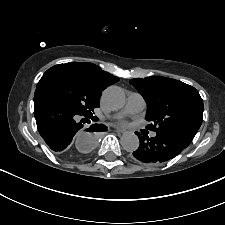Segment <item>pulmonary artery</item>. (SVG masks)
I'll list each match as a JSON object with an SVG mask.
<instances>
[{"label": "pulmonary artery", "instance_id": "obj_1", "mask_svg": "<svg viewBox=\"0 0 225 225\" xmlns=\"http://www.w3.org/2000/svg\"><path fill=\"white\" fill-rule=\"evenodd\" d=\"M145 106H146V102L144 98L142 97V95L136 92H130L128 94L127 103L120 114L124 115V114L138 113L142 111L145 108ZM151 136L155 137L156 133L152 132Z\"/></svg>", "mask_w": 225, "mask_h": 225}]
</instances>
